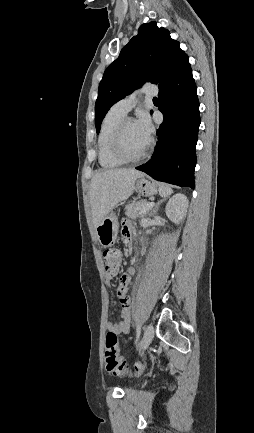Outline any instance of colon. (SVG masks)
<instances>
[{"mask_svg":"<svg viewBox=\"0 0 254 433\" xmlns=\"http://www.w3.org/2000/svg\"><path fill=\"white\" fill-rule=\"evenodd\" d=\"M102 256L106 274L117 273L121 258L120 252L117 249H105ZM105 368L108 373L125 375L140 372L143 364L137 362L130 366L126 360L120 358L118 337L116 333L109 331L105 339Z\"/></svg>","mask_w":254,"mask_h":433,"instance_id":"5ec220e1","label":"colon"}]
</instances>
